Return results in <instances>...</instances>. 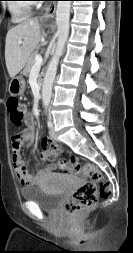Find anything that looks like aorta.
<instances>
[{
	"mask_svg": "<svg viewBox=\"0 0 133 253\" xmlns=\"http://www.w3.org/2000/svg\"><path fill=\"white\" fill-rule=\"evenodd\" d=\"M70 7L71 1H58L56 10V25L58 28L57 46L49 63L42 88V100L45 109L49 107L51 101L52 86L57 72V66L69 34Z\"/></svg>",
	"mask_w": 133,
	"mask_h": 253,
	"instance_id": "aorta-1",
	"label": "aorta"
}]
</instances>
